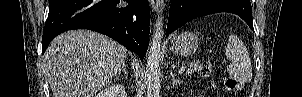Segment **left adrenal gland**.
<instances>
[{"label":"left adrenal gland","instance_id":"a2214340","mask_svg":"<svg viewBox=\"0 0 302 97\" xmlns=\"http://www.w3.org/2000/svg\"><path fill=\"white\" fill-rule=\"evenodd\" d=\"M171 77H172L171 81L173 86L181 83L180 79L175 78V75L173 73L171 74Z\"/></svg>","mask_w":302,"mask_h":97}]
</instances>
